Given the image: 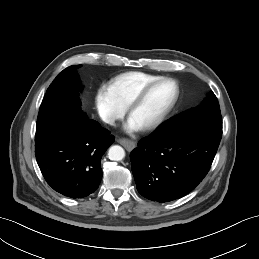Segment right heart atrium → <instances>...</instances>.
<instances>
[{"label": "right heart atrium", "mask_w": 259, "mask_h": 259, "mask_svg": "<svg viewBox=\"0 0 259 259\" xmlns=\"http://www.w3.org/2000/svg\"><path fill=\"white\" fill-rule=\"evenodd\" d=\"M95 108L100 118L109 125H114L125 115V109L114 101L105 87L95 93Z\"/></svg>", "instance_id": "1"}]
</instances>
